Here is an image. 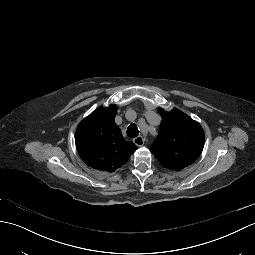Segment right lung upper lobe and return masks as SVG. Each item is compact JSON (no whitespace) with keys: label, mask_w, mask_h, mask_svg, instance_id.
<instances>
[{"label":"right lung upper lobe","mask_w":255,"mask_h":255,"mask_svg":"<svg viewBox=\"0 0 255 255\" xmlns=\"http://www.w3.org/2000/svg\"><path fill=\"white\" fill-rule=\"evenodd\" d=\"M117 106L99 107L78 126L75 143L81 159L89 167L114 172L124 165L137 147L124 140L115 123Z\"/></svg>","instance_id":"1"}]
</instances>
